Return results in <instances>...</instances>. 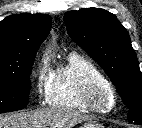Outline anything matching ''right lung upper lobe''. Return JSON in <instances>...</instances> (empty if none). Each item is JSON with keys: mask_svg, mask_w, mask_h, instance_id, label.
<instances>
[{"mask_svg": "<svg viewBox=\"0 0 142 128\" xmlns=\"http://www.w3.org/2000/svg\"><path fill=\"white\" fill-rule=\"evenodd\" d=\"M52 20L43 14H14L0 22V74L12 72L34 60Z\"/></svg>", "mask_w": 142, "mask_h": 128, "instance_id": "1", "label": "right lung upper lobe"}]
</instances>
